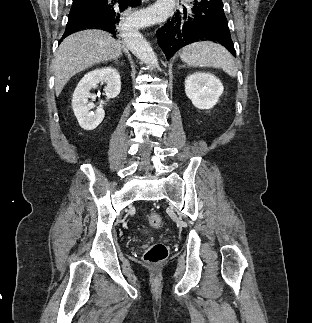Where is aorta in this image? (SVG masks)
Segmentation results:
<instances>
[{"mask_svg":"<svg viewBox=\"0 0 312 323\" xmlns=\"http://www.w3.org/2000/svg\"><path fill=\"white\" fill-rule=\"evenodd\" d=\"M124 40L126 46L138 60L145 62V64H158L157 56L153 52L149 42H146L142 34L138 30H129L124 32Z\"/></svg>","mask_w":312,"mask_h":323,"instance_id":"1","label":"aorta"}]
</instances>
